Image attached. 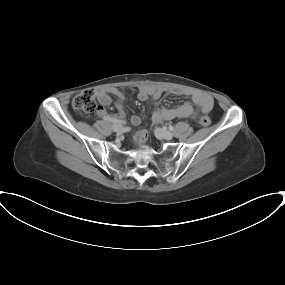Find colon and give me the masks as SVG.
<instances>
[{"instance_id": "colon-1", "label": "colon", "mask_w": 285, "mask_h": 285, "mask_svg": "<svg viewBox=\"0 0 285 285\" xmlns=\"http://www.w3.org/2000/svg\"><path fill=\"white\" fill-rule=\"evenodd\" d=\"M72 106L75 110L83 113H92L97 108L96 94L92 89L85 90L74 97L72 100ZM198 123L202 126H208L211 120L207 116H200L198 118Z\"/></svg>"}]
</instances>
